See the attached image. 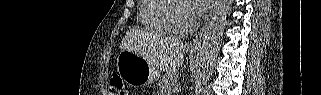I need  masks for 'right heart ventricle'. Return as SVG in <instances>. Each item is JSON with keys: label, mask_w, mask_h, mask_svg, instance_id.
<instances>
[{"label": "right heart ventricle", "mask_w": 321, "mask_h": 95, "mask_svg": "<svg viewBox=\"0 0 321 95\" xmlns=\"http://www.w3.org/2000/svg\"><path fill=\"white\" fill-rule=\"evenodd\" d=\"M171 0H143L139 8L140 19L147 30L155 34H171L165 21V10Z\"/></svg>", "instance_id": "e07e8e85"}]
</instances>
